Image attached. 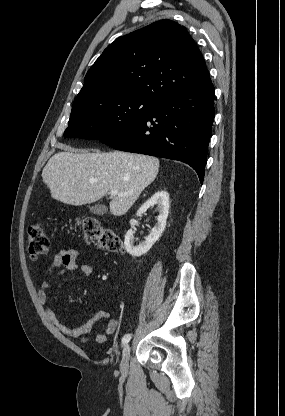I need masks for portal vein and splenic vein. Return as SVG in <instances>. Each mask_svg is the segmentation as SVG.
Instances as JSON below:
<instances>
[{"instance_id":"18ae733b","label":"portal vein and splenic vein","mask_w":285,"mask_h":416,"mask_svg":"<svg viewBox=\"0 0 285 416\" xmlns=\"http://www.w3.org/2000/svg\"><path fill=\"white\" fill-rule=\"evenodd\" d=\"M110 196H127V194H118V190H111Z\"/></svg>"}]
</instances>
